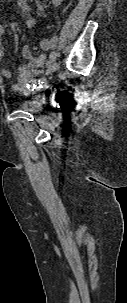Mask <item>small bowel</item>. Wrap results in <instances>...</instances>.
I'll return each instance as SVG.
<instances>
[{
	"label": "small bowel",
	"mask_w": 127,
	"mask_h": 303,
	"mask_svg": "<svg viewBox=\"0 0 127 303\" xmlns=\"http://www.w3.org/2000/svg\"><path fill=\"white\" fill-rule=\"evenodd\" d=\"M18 7L23 12L26 18L28 26L35 24V19L32 15V9L28 0H17ZM6 32V28L3 24H0V63L5 57V51L2 45V37ZM40 47L44 51L39 56H32L31 51L28 47H23L21 56L25 63L18 66V77L17 80L12 82L11 90L15 93L30 94L35 88L44 83L42 77L44 68L47 65V53L52 48L50 41L47 38L41 37L39 39ZM2 75L7 78H12V73L6 67H2Z\"/></svg>",
	"instance_id": "obj_1"
}]
</instances>
